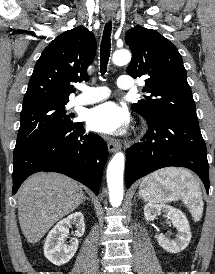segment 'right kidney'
<instances>
[{
	"instance_id": "right-kidney-1",
	"label": "right kidney",
	"mask_w": 215,
	"mask_h": 274,
	"mask_svg": "<svg viewBox=\"0 0 215 274\" xmlns=\"http://www.w3.org/2000/svg\"><path fill=\"white\" fill-rule=\"evenodd\" d=\"M70 225L76 226L75 236L69 244L62 241L68 236ZM85 232L84 216L75 212L59 221L49 232L44 244V255L54 265L61 266L70 261L78 249L77 237Z\"/></svg>"
}]
</instances>
